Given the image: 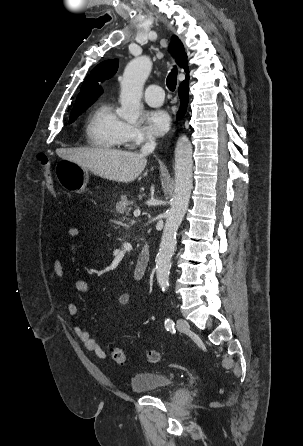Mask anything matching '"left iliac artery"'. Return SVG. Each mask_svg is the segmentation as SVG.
Masks as SVG:
<instances>
[{
    "instance_id": "44dca946",
    "label": "left iliac artery",
    "mask_w": 303,
    "mask_h": 446,
    "mask_svg": "<svg viewBox=\"0 0 303 446\" xmlns=\"http://www.w3.org/2000/svg\"><path fill=\"white\" fill-rule=\"evenodd\" d=\"M165 328L169 331V330H174V322L173 320H171L170 318H167L165 320Z\"/></svg>"
}]
</instances>
